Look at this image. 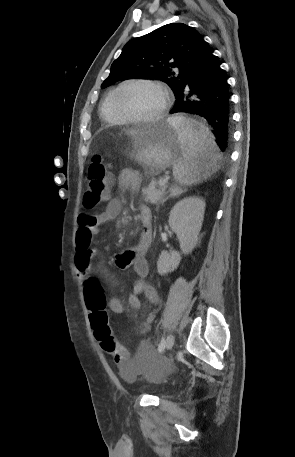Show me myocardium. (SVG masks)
<instances>
[{"label":"myocardium","mask_w":295,"mask_h":457,"mask_svg":"<svg viewBox=\"0 0 295 457\" xmlns=\"http://www.w3.org/2000/svg\"><path fill=\"white\" fill-rule=\"evenodd\" d=\"M138 85H149V86H155L159 88L164 95V104L161 108V110L149 117H137L133 116L130 114L121 104V97L123 93L133 87V86H138ZM171 105V93L168 89V87L163 84L160 81L157 80H149V79H137V80H131L128 82H125L119 86L117 89L115 95H114V109L115 111L122 117L124 118L127 122L131 123H152L160 120L161 118L164 117V115L167 113L169 107Z\"/></svg>","instance_id":"obj_1"}]
</instances>
